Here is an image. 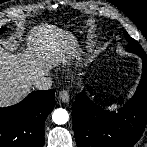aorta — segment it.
<instances>
[{
	"label": "aorta",
	"instance_id": "1",
	"mask_svg": "<svg viewBox=\"0 0 147 147\" xmlns=\"http://www.w3.org/2000/svg\"><path fill=\"white\" fill-rule=\"evenodd\" d=\"M52 120L57 125H63L68 122L69 114L65 109L58 108L53 112Z\"/></svg>",
	"mask_w": 147,
	"mask_h": 147
}]
</instances>
